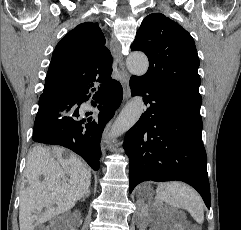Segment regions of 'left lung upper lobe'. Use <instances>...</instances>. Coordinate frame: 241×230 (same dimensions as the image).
I'll return each mask as SVG.
<instances>
[{
	"instance_id": "1",
	"label": "left lung upper lobe",
	"mask_w": 241,
	"mask_h": 230,
	"mask_svg": "<svg viewBox=\"0 0 241 230\" xmlns=\"http://www.w3.org/2000/svg\"><path fill=\"white\" fill-rule=\"evenodd\" d=\"M131 50L149 59L140 81L158 86L202 103L198 74L199 57L191 35L161 13L150 14L137 31Z\"/></svg>"
}]
</instances>
